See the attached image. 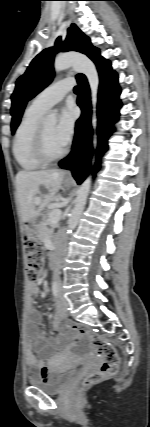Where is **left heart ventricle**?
<instances>
[{"label": "left heart ventricle", "mask_w": 150, "mask_h": 427, "mask_svg": "<svg viewBox=\"0 0 150 427\" xmlns=\"http://www.w3.org/2000/svg\"><path fill=\"white\" fill-rule=\"evenodd\" d=\"M55 125L46 124L43 125L44 139L46 150L50 155H56L63 150V146L59 144L55 136Z\"/></svg>", "instance_id": "b2bd125f"}]
</instances>
